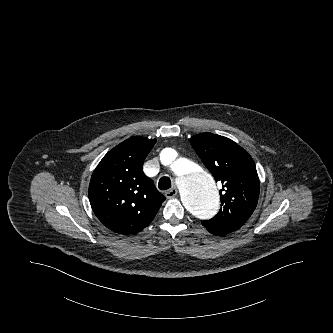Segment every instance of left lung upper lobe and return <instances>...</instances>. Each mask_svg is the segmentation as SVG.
Listing matches in <instances>:
<instances>
[{
	"label": "left lung upper lobe",
	"mask_w": 333,
	"mask_h": 333,
	"mask_svg": "<svg viewBox=\"0 0 333 333\" xmlns=\"http://www.w3.org/2000/svg\"><path fill=\"white\" fill-rule=\"evenodd\" d=\"M190 143L210 170L214 179L222 183L221 208L208 221L216 229L233 232L252 215L259 198V179L256 166L246 150L234 141L212 133L191 137Z\"/></svg>",
	"instance_id": "5c2ea615"
}]
</instances>
